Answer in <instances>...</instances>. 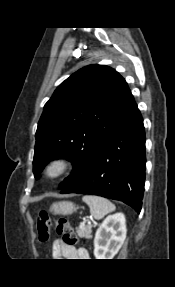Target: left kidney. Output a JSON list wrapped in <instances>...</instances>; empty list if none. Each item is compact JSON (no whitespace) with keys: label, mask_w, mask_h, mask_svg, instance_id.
Listing matches in <instances>:
<instances>
[{"label":"left kidney","mask_w":175,"mask_h":287,"mask_svg":"<svg viewBox=\"0 0 175 287\" xmlns=\"http://www.w3.org/2000/svg\"><path fill=\"white\" fill-rule=\"evenodd\" d=\"M126 220L122 213L107 216L96 231L94 256L96 259H113L126 238Z\"/></svg>","instance_id":"left-kidney-1"}]
</instances>
